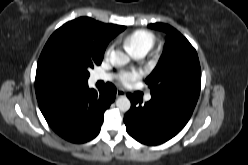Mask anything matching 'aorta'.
Returning <instances> with one entry per match:
<instances>
[{
  "label": "aorta",
  "instance_id": "762f6f07",
  "mask_svg": "<svg viewBox=\"0 0 248 165\" xmlns=\"http://www.w3.org/2000/svg\"><path fill=\"white\" fill-rule=\"evenodd\" d=\"M110 59L116 65L122 66L129 62V56L121 51H112L110 54ZM117 108L122 112H127L131 107V102L126 96H120L116 100Z\"/></svg>",
  "mask_w": 248,
  "mask_h": 165
}]
</instances>
